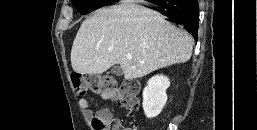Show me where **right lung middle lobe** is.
Returning a JSON list of instances; mask_svg holds the SVG:
<instances>
[{
  "mask_svg": "<svg viewBox=\"0 0 257 130\" xmlns=\"http://www.w3.org/2000/svg\"><path fill=\"white\" fill-rule=\"evenodd\" d=\"M72 3L81 14H85L108 2L105 0H72Z\"/></svg>",
  "mask_w": 257,
  "mask_h": 130,
  "instance_id": "1",
  "label": "right lung middle lobe"
}]
</instances>
